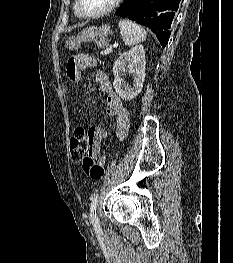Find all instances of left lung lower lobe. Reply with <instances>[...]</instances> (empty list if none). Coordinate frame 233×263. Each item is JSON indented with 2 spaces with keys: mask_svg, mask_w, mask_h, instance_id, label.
<instances>
[{
  "mask_svg": "<svg viewBox=\"0 0 233 263\" xmlns=\"http://www.w3.org/2000/svg\"><path fill=\"white\" fill-rule=\"evenodd\" d=\"M180 0H124L116 15L129 18L149 27L165 47Z\"/></svg>",
  "mask_w": 233,
  "mask_h": 263,
  "instance_id": "obj_1",
  "label": "left lung lower lobe"
}]
</instances>
